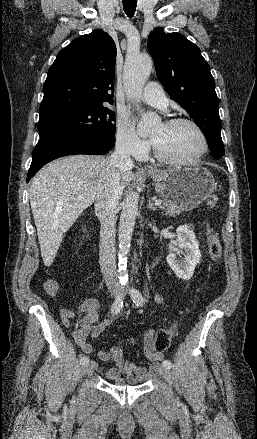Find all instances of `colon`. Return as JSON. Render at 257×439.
I'll use <instances>...</instances> for the list:
<instances>
[{
	"label": "colon",
	"mask_w": 257,
	"mask_h": 439,
	"mask_svg": "<svg viewBox=\"0 0 257 439\" xmlns=\"http://www.w3.org/2000/svg\"><path fill=\"white\" fill-rule=\"evenodd\" d=\"M218 203V196L215 194L210 195L206 200V205L208 208L213 209ZM209 240H208V251L211 260L217 263L221 259V244L219 240L218 233L216 230L209 226ZM48 292L53 293L57 286L55 282H49L46 285ZM174 334V329H160L156 332L154 338V347L158 352H163L166 350L171 342L172 336Z\"/></svg>",
	"instance_id": "colon-1"
}]
</instances>
